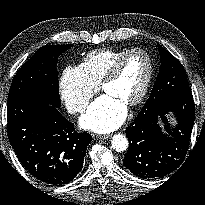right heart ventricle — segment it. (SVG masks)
Segmentation results:
<instances>
[{
    "label": "right heart ventricle",
    "mask_w": 205,
    "mask_h": 205,
    "mask_svg": "<svg viewBox=\"0 0 205 205\" xmlns=\"http://www.w3.org/2000/svg\"><path fill=\"white\" fill-rule=\"evenodd\" d=\"M128 49H99L88 53L82 63L87 79L94 86L98 85L104 76L108 73L113 63Z\"/></svg>",
    "instance_id": "right-heart-ventricle-1"
}]
</instances>
